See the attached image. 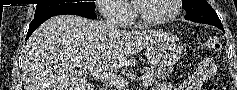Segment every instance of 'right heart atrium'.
<instances>
[{
	"label": "right heart atrium",
	"instance_id": "1",
	"mask_svg": "<svg viewBox=\"0 0 237 90\" xmlns=\"http://www.w3.org/2000/svg\"><path fill=\"white\" fill-rule=\"evenodd\" d=\"M122 0H96L101 12L108 20H129L127 9L121 6Z\"/></svg>",
	"mask_w": 237,
	"mask_h": 90
}]
</instances>
